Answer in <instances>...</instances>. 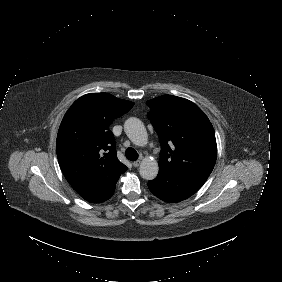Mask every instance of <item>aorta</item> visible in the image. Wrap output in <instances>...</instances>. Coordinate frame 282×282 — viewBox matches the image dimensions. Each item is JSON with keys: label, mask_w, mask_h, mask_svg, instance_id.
Returning <instances> with one entry per match:
<instances>
[{"label": "aorta", "mask_w": 282, "mask_h": 282, "mask_svg": "<svg viewBox=\"0 0 282 282\" xmlns=\"http://www.w3.org/2000/svg\"><path fill=\"white\" fill-rule=\"evenodd\" d=\"M124 131L127 137L137 145L147 141V132L144 123L137 117H129L124 122ZM159 172L158 163L153 158H145L139 167L141 178L147 181L154 180Z\"/></svg>", "instance_id": "1"}]
</instances>
